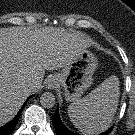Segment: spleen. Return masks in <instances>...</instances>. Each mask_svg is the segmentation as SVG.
Returning <instances> with one entry per match:
<instances>
[{
	"instance_id": "1",
	"label": "spleen",
	"mask_w": 135,
	"mask_h": 135,
	"mask_svg": "<svg viewBox=\"0 0 135 135\" xmlns=\"http://www.w3.org/2000/svg\"><path fill=\"white\" fill-rule=\"evenodd\" d=\"M119 83L116 76H110L88 95L71 103L68 115L73 125L85 135L107 130L117 111Z\"/></svg>"
}]
</instances>
